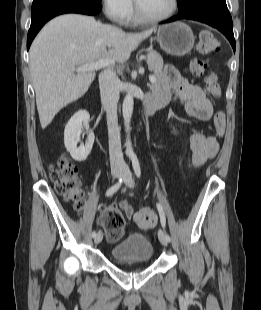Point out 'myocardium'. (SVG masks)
<instances>
[{"label": "myocardium", "instance_id": "f54148a6", "mask_svg": "<svg viewBox=\"0 0 261 310\" xmlns=\"http://www.w3.org/2000/svg\"><path fill=\"white\" fill-rule=\"evenodd\" d=\"M133 3H134L136 19L139 22L147 23V24H155V23H160V22L168 20L176 13L178 6H179V0H172L171 8L169 9L167 13H165L164 15L158 16V17H149L141 11L136 0H133Z\"/></svg>", "mask_w": 261, "mask_h": 310}]
</instances>
